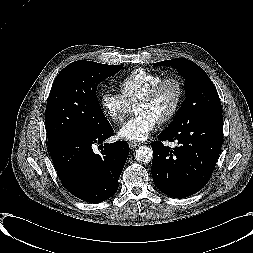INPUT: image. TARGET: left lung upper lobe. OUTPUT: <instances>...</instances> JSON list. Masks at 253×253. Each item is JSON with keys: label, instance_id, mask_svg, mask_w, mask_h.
Returning a JSON list of instances; mask_svg holds the SVG:
<instances>
[{"label": "left lung upper lobe", "instance_id": "obj_1", "mask_svg": "<svg viewBox=\"0 0 253 253\" xmlns=\"http://www.w3.org/2000/svg\"><path fill=\"white\" fill-rule=\"evenodd\" d=\"M154 65L177 68L185 79L186 98L166 129H175L191 120L222 115L217 90L200 66L184 58L161 61Z\"/></svg>", "mask_w": 253, "mask_h": 253}]
</instances>
